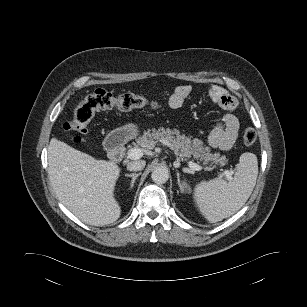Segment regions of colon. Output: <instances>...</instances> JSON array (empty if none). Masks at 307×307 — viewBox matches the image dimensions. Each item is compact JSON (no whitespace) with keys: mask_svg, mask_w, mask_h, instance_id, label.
I'll use <instances>...</instances> for the list:
<instances>
[{"mask_svg":"<svg viewBox=\"0 0 307 307\" xmlns=\"http://www.w3.org/2000/svg\"><path fill=\"white\" fill-rule=\"evenodd\" d=\"M145 107L157 109L159 104L137 93L126 92L114 95L106 90L98 89L75 106L72 117L64 123L63 127L74 134L75 142H81L87 133L89 123L97 112L112 108L133 110ZM242 137L246 145H252L257 139V133L254 129L247 128Z\"/></svg>","mask_w":307,"mask_h":307,"instance_id":"5ec220e1","label":"colon"}]
</instances>
